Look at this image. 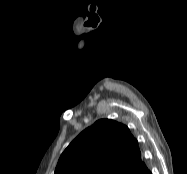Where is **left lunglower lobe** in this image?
I'll list each match as a JSON object with an SVG mask.
<instances>
[{
    "label": "left lung lower lobe",
    "instance_id": "left-lung-lower-lobe-1",
    "mask_svg": "<svg viewBox=\"0 0 187 174\" xmlns=\"http://www.w3.org/2000/svg\"><path fill=\"white\" fill-rule=\"evenodd\" d=\"M135 174H152L148 169L147 167L144 168V169H139Z\"/></svg>",
    "mask_w": 187,
    "mask_h": 174
}]
</instances>
